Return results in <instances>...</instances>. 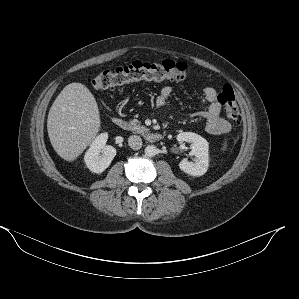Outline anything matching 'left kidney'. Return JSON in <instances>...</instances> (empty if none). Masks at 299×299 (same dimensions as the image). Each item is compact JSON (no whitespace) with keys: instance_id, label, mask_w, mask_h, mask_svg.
<instances>
[{"instance_id":"left-kidney-1","label":"left kidney","mask_w":299,"mask_h":299,"mask_svg":"<svg viewBox=\"0 0 299 299\" xmlns=\"http://www.w3.org/2000/svg\"><path fill=\"white\" fill-rule=\"evenodd\" d=\"M178 142H189L191 144L190 155L195 156L194 162L183 159L179 168L191 176L204 175L209 166V144L206 139L193 132H181L177 135Z\"/></svg>"}]
</instances>
